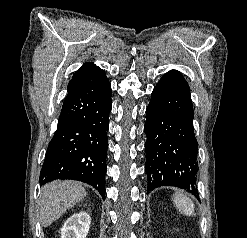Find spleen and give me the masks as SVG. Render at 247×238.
<instances>
[{
	"mask_svg": "<svg viewBox=\"0 0 247 238\" xmlns=\"http://www.w3.org/2000/svg\"><path fill=\"white\" fill-rule=\"evenodd\" d=\"M175 207L184 215L191 216L194 214V203L183 192H177L173 196Z\"/></svg>",
	"mask_w": 247,
	"mask_h": 238,
	"instance_id": "spleen-1",
	"label": "spleen"
}]
</instances>
